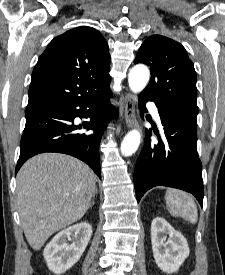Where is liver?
I'll return each instance as SVG.
<instances>
[{
	"mask_svg": "<svg viewBox=\"0 0 225 275\" xmlns=\"http://www.w3.org/2000/svg\"><path fill=\"white\" fill-rule=\"evenodd\" d=\"M96 180L89 166L65 154H39L21 167L17 174V205L33 250H39L53 233L84 216Z\"/></svg>",
	"mask_w": 225,
	"mask_h": 275,
	"instance_id": "1",
	"label": "liver"
}]
</instances>
